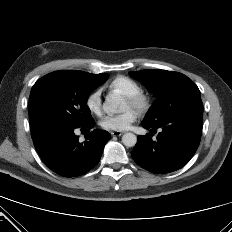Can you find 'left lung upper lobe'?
Listing matches in <instances>:
<instances>
[{"label": "left lung upper lobe", "instance_id": "obj_1", "mask_svg": "<svg viewBox=\"0 0 232 232\" xmlns=\"http://www.w3.org/2000/svg\"><path fill=\"white\" fill-rule=\"evenodd\" d=\"M129 75L141 81L157 98L143 121L159 124L175 114L202 109L198 87L182 73L142 70Z\"/></svg>", "mask_w": 232, "mask_h": 232}]
</instances>
